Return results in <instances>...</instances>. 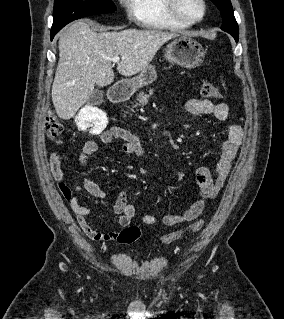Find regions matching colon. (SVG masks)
Wrapping results in <instances>:
<instances>
[{
	"label": "colon",
	"mask_w": 284,
	"mask_h": 319,
	"mask_svg": "<svg viewBox=\"0 0 284 319\" xmlns=\"http://www.w3.org/2000/svg\"><path fill=\"white\" fill-rule=\"evenodd\" d=\"M200 92L204 97L210 99H219L221 93L219 89L213 84L203 81L200 84ZM44 130L48 138L54 139L63 131L62 123L54 115H48L44 121ZM204 225L202 219L197 220L188 229L180 232H174L167 234L161 238L163 244H170L171 242L177 240L178 238L184 236L185 234H191L200 230ZM140 238V230L135 226H128L120 231L117 240L120 243L130 244L137 241Z\"/></svg>",
	"instance_id": "obj_1"
}]
</instances>
